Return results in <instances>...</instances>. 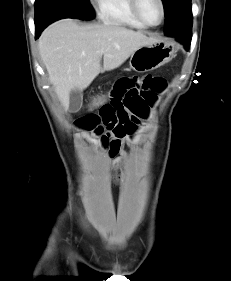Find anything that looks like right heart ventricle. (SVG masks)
Masks as SVG:
<instances>
[{"label":"right heart ventricle","mask_w":231,"mask_h":281,"mask_svg":"<svg viewBox=\"0 0 231 281\" xmlns=\"http://www.w3.org/2000/svg\"><path fill=\"white\" fill-rule=\"evenodd\" d=\"M97 14L100 20L109 25L145 29L134 14L131 0H96Z\"/></svg>","instance_id":"right-heart-ventricle-1"}]
</instances>
